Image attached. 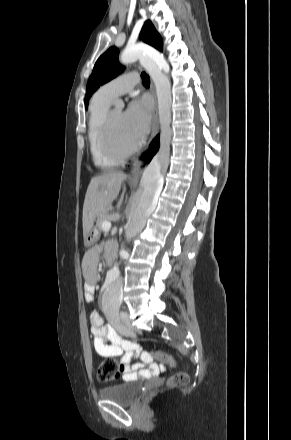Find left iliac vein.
<instances>
[{
  "mask_svg": "<svg viewBox=\"0 0 291 440\" xmlns=\"http://www.w3.org/2000/svg\"><path fill=\"white\" fill-rule=\"evenodd\" d=\"M120 319L124 325V333L126 335H131L133 333V328L129 318V314L126 311L120 312Z\"/></svg>",
  "mask_w": 291,
  "mask_h": 440,
  "instance_id": "left-iliac-vein-1",
  "label": "left iliac vein"
}]
</instances>
